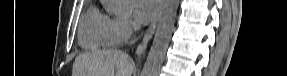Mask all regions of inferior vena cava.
<instances>
[{
    "label": "inferior vena cava",
    "mask_w": 287,
    "mask_h": 76,
    "mask_svg": "<svg viewBox=\"0 0 287 76\" xmlns=\"http://www.w3.org/2000/svg\"><path fill=\"white\" fill-rule=\"evenodd\" d=\"M140 29V26L139 25H134V30L135 31H138Z\"/></svg>",
    "instance_id": "1"
}]
</instances>
